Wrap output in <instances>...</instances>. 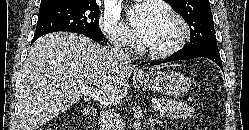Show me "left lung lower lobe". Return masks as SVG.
Listing matches in <instances>:
<instances>
[{
  "mask_svg": "<svg viewBox=\"0 0 249 130\" xmlns=\"http://www.w3.org/2000/svg\"><path fill=\"white\" fill-rule=\"evenodd\" d=\"M197 57H206L212 61H214L223 71L222 60L220 58L219 51L207 50V49H181L171 55L168 59L162 61H152L150 65H158L161 63L178 61V60H190Z\"/></svg>",
  "mask_w": 249,
  "mask_h": 130,
  "instance_id": "1",
  "label": "left lung lower lobe"
}]
</instances>
